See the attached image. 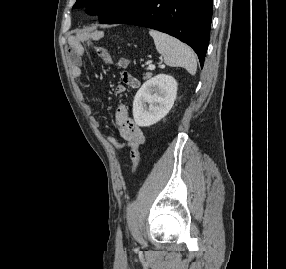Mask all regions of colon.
I'll return each instance as SVG.
<instances>
[{
	"label": "colon",
	"instance_id": "colon-1",
	"mask_svg": "<svg viewBox=\"0 0 286 269\" xmlns=\"http://www.w3.org/2000/svg\"><path fill=\"white\" fill-rule=\"evenodd\" d=\"M118 66L119 70H124V67L131 66V61H129L127 58H121L120 61H118ZM122 78L124 83H118V88H139L138 78H134L127 72L122 73Z\"/></svg>",
	"mask_w": 286,
	"mask_h": 269
}]
</instances>
